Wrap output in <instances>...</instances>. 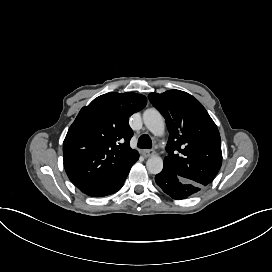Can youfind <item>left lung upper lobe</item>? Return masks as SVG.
<instances>
[{
  "mask_svg": "<svg viewBox=\"0 0 272 272\" xmlns=\"http://www.w3.org/2000/svg\"><path fill=\"white\" fill-rule=\"evenodd\" d=\"M149 100L166 119L170 134L164 167L207 186L221 167L222 152L219 131L206 109L180 90L150 93Z\"/></svg>",
  "mask_w": 272,
  "mask_h": 272,
  "instance_id": "obj_1",
  "label": "left lung upper lobe"
}]
</instances>
